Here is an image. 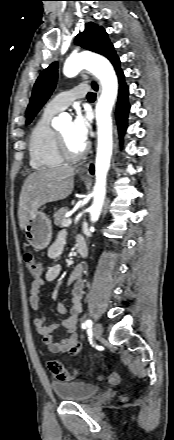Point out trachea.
<instances>
[{
	"mask_svg": "<svg viewBox=\"0 0 174 440\" xmlns=\"http://www.w3.org/2000/svg\"><path fill=\"white\" fill-rule=\"evenodd\" d=\"M87 98L89 100H94L96 98V94L93 93V92H89L88 95H87Z\"/></svg>",
	"mask_w": 174,
	"mask_h": 440,
	"instance_id": "3493384b",
	"label": "trachea"
}]
</instances>
